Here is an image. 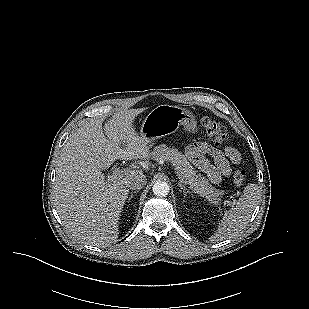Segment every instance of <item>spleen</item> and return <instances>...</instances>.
I'll list each match as a JSON object with an SVG mask.
<instances>
[{"mask_svg":"<svg viewBox=\"0 0 309 309\" xmlns=\"http://www.w3.org/2000/svg\"><path fill=\"white\" fill-rule=\"evenodd\" d=\"M259 197V186L253 183L247 184L236 205L223 215L211 241H223L242 231L248 224Z\"/></svg>","mask_w":309,"mask_h":309,"instance_id":"3e777b00","label":"spleen"}]
</instances>
